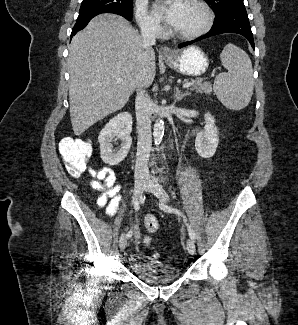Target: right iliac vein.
<instances>
[{
    "label": "right iliac vein",
    "instance_id": "obj_1",
    "mask_svg": "<svg viewBox=\"0 0 298 325\" xmlns=\"http://www.w3.org/2000/svg\"><path fill=\"white\" fill-rule=\"evenodd\" d=\"M145 178L140 177L135 181L134 193L132 197V202L135 203L142 197V193L145 188ZM127 246V238L125 234H122L119 240V247L121 251H124Z\"/></svg>",
    "mask_w": 298,
    "mask_h": 325
}]
</instances>
